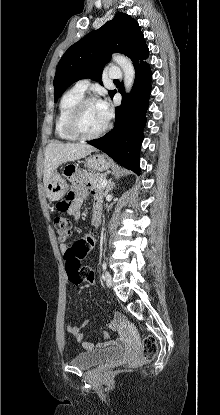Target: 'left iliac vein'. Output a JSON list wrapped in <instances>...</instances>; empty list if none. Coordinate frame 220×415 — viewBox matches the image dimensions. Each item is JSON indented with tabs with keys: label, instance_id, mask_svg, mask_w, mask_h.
Returning a JSON list of instances; mask_svg holds the SVG:
<instances>
[{
	"label": "left iliac vein",
	"instance_id": "obj_1",
	"mask_svg": "<svg viewBox=\"0 0 220 415\" xmlns=\"http://www.w3.org/2000/svg\"><path fill=\"white\" fill-rule=\"evenodd\" d=\"M104 280H105L107 286L110 287L111 284H112V276L108 271H105Z\"/></svg>",
	"mask_w": 220,
	"mask_h": 415
}]
</instances>
